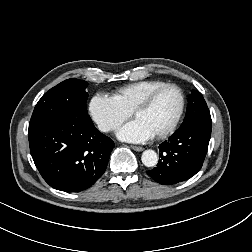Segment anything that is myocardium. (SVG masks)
<instances>
[{
    "label": "myocardium",
    "instance_id": "1",
    "mask_svg": "<svg viewBox=\"0 0 252 252\" xmlns=\"http://www.w3.org/2000/svg\"><path fill=\"white\" fill-rule=\"evenodd\" d=\"M170 88L175 89L179 94V98H180L179 108H178L177 114H176L173 122L171 123V125L163 132H160L155 135V137L157 139H164V138L169 137L171 134H173L174 131L176 130L181 118H182V115H183L184 109H185V105H186V97H185V94H184L183 90L181 89V87L178 86L177 84H173V83H166L164 85H161V86L153 89L152 91H150L142 100H140L135 105V107L131 111L132 116H134L137 112L148 108L151 105V103L153 102V100L155 99V97L160 92H162L165 89H170Z\"/></svg>",
    "mask_w": 252,
    "mask_h": 252
}]
</instances>
